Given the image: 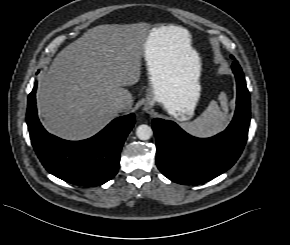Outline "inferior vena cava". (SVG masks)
<instances>
[{
	"instance_id": "obj_1",
	"label": "inferior vena cava",
	"mask_w": 290,
	"mask_h": 245,
	"mask_svg": "<svg viewBox=\"0 0 290 245\" xmlns=\"http://www.w3.org/2000/svg\"><path fill=\"white\" fill-rule=\"evenodd\" d=\"M113 107H114L115 110H117L119 112H122L126 108V105H125V103L122 100H117L114 103Z\"/></svg>"
}]
</instances>
